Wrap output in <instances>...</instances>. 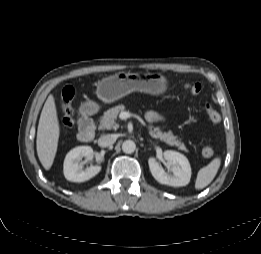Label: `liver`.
Listing matches in <instances>:
<instances>
[{
  "label": "liver",
  "mask_w": 261,
  "mask_h": 254,
  "mask_svg": "<svg viewBox=\"0 0 261 254\" xmlns=\"http://www.w3.org/2000/svg\"><path fill=\"white\" fill-rule=\"evenodd\" d=\"M60 136V125L53 95H49L41 112L36 139L38 158L49 170L54 162Z\"/></svg>",
  "instance_id": "6515ba94"
}]
</instances>
